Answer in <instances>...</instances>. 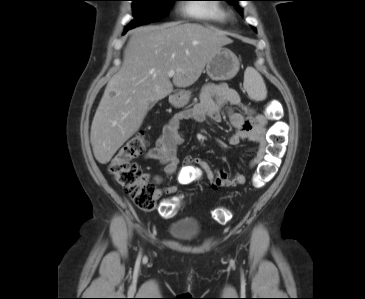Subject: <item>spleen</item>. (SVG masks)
<instances>
[{"label":"spleen","mask_w":365,"mask_h":299,"mask_svg":"<svg viewBox=\"0 0 365 299\" xmlns=\"http://www.w3.org/2000/svg\"><path fill=\"white\" fill-rule=\"evenodd\" d=\"M244 88L249 97L255 101H262L267 96V89L260 73L253 67H247L244 72Z\"/></svg>","instance_id":"spleen-1"}]
</instances>
